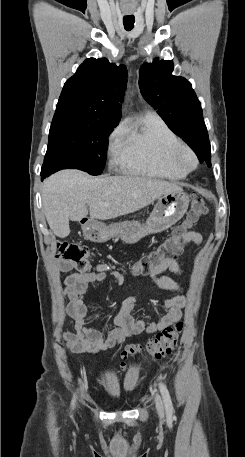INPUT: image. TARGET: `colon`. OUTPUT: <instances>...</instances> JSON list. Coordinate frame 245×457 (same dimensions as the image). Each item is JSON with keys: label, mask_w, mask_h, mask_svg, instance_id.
I'll use <instances>...</instances> for the list:
<instances>
[{"label": "colon", "mask_w": 245, "mask_h": 457, "mask_svg": "<svg viewBox=\"0 0 245 457\" xmlns=\"http://www.w3.org/2000/svg\"><path fill=\"white\" fill-rule=\"evenodd\" d=\"M207 209V204L203 197L199 194H193L186 226L177 229L155 250L143 255L134 265L133 273L149 274L162 262L179 255L184 245V235L188 232V227L202 218ZM56 257L71 263L79 271L91 269L89 249L78 242H60L57 246ZM182 329L183 323L176 322L158 332L146 344L127 345L120 355L121 366L125 368L131 359L141 354H147L156 359L168 356L177 346Z\"/></svg>", "instance_id": "1"}]
</instances>
